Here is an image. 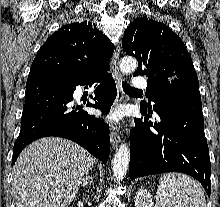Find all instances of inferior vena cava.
<instances>
[{
    "instance_id": "obj_1",
    "label": "inferior vena cava",
    "mask_w": 220,
    "mask_h": 207,
    "mask_svg": "<svg viewBox=\"0 0 220 207\" xmlns=\"http://www.w3.org/2000/svg\"><path fill=\"white\" fill-rule=\"evenodd\" d=\"M90 178V177H89ZM87 184V179L83 180V186H85Z\"/></svg>"
}]
</instances>
